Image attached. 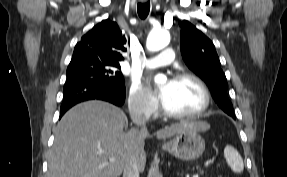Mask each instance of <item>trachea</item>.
<instances>
[{
    "label": "trachea",
    "mask_w": 287,
    "mask_h": 177,
    "mask_svg": "<svg viewBox=\"0 0 287 177\" xmlns=\"http://www.w3.org/2000/svg\"><path fill=\"white\" fill-rule=\"evenodd\" d=\"M150 11V2H146V3H139L137 6V12L138 15L141 19H145Z\"/></svg>",
    "instance_id": "1"
}]
</instances>
